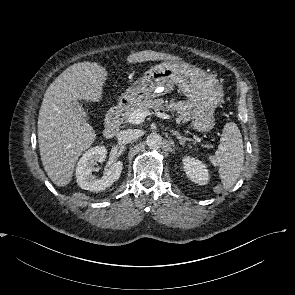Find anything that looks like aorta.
Masks as SVG:
<instances>
[{
	"mask_svg": "<svg viewBox=\"0 0 295 295\" xmlns=\"http://www.w3.org/2000/svg\"><path fill=\"white\" fill-rule=\"evenodd\" d=\"M146 144L150 149H158L162 145V138L157 133H151L147 136Z\"/></svg>",
	"mask_w": 295,
	"mask_h": 295,
	"instance_id": "762f6f07",
	"label": "aorta"
}]
</instances>
